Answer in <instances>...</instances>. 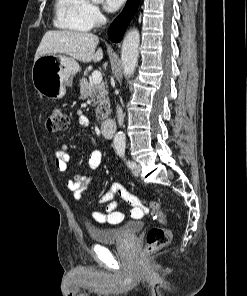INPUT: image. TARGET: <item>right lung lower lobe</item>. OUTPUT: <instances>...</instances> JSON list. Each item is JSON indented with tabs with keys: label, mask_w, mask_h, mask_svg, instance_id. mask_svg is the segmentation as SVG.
Listing matches in <instances>:
<instances>
[{
	"label": "right lung lower lobe",
	"mask_w": 247,
	"mask_h": 296,
	"mask_svg": "<svg viewBox=\"0 0 247 296\" xmlns=\"http://www.w3.org/2000/svg\"><path fill=\"white\" fill-rule=\"evenodd\" d=\"M140 0H128L122 13L115 19L108 29L109 38L113 42H119L134 16Z\"/></svg>",
	"instance_id": "98d812e1"
}]
</instances>
